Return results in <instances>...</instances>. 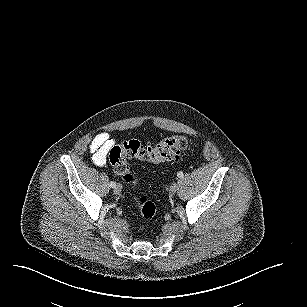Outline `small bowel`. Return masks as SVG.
<instances>
[{
    "label": "small bowel",
    "instance_id": "obj_1",
    "mask_svg": "<svg viewBox=\"0 0 307 307\" xmlns=\"http://www.w3.org/2000/svg\"><path fill=\"white\" fill-rule=\"evenodd\" d=\"M114 144L115 140L107 132H101L93 137L89 150L96 166H103L106 163L107 155Z\"/></svg>",
    "mask_w": 307,
    "mask_h": 307
}]
</instances>
